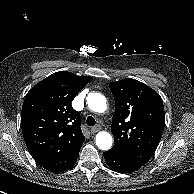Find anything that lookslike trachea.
I'll return each mask as SVG.
<instances>
[{"mask_svg":"<svg viewBox=\"0 0 194 194\" xmlns=\"http://www.w3.org/2000/svg\"><path fill=\"white\" fill-rule=\"evenodd\" d=\"M86 123H87L88 126H94L96 121H95L94 117L88 116L87 120H86Z\"/></svg>","mask_w":194,"mask_h":194,"instance_id":"trachea-1","label":"trachea"}]
</instances>
